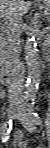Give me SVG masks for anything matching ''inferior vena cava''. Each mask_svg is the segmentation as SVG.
<instances>
[{
    "mask_svg": "<svg viewBox=\"0 0 50 148\" xmlns=\"http://www.w3.org/2000/svg\"><path fill=\"white\" fill-rule=\"evenodd\" d=\"M5 18L7 19V24L3 33V48L13 67L11 84L9 86L8 92L9 98L13 101H17L22 97V87L25 72L24 67L19 59L21 16L17 13L15 15H8Z\"/></svg>",
    "mask_w": 50,
    "mask_h": 148,
    "instance_id": "obj_1",
    "label": "inferior vena cava"
}]
</instances>
